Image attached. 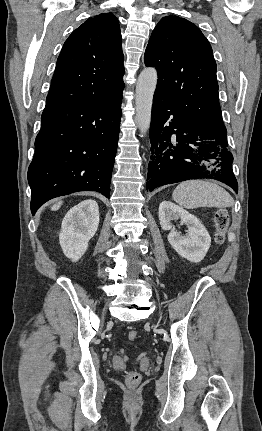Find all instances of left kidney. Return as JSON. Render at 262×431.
<instances>
[{"instance_id":"5707ae66","label":"left kidney","mask_w":262,"mask_h":431,"mask_svg":"<svg viewBox=\"0 0 262 431\" xmlns=\"http://www.w3.org/2000/svg\"><path fill=\"white\" fill-rule=\"evenodd\" d=\"M179 219L188 228L185 235L172 227V221ZM159 220L163 230H170L168 241L181 257L194 263L204 259L211 245V237L196 216L170 201H163L159 205Z\"/></svg>"}]
</instances>
